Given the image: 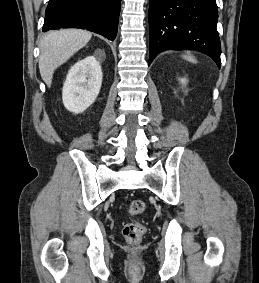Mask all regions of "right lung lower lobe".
<instances>
[{"instance_id": "98d812e1", "label": "right lung lower lobe", "mask_w": 259, "mask_h": 283, "mask_svg": "<svg viewBox=\"0 0 259 283\" xmlns=\"http://www.w3.org/2000/svg\"><path fill=\"white\" fill-rule=\"evenodd\" d=\"M121 0H49L43 32L81 28L113 41L117 34Z\"/></svg>"}]
</instances>
